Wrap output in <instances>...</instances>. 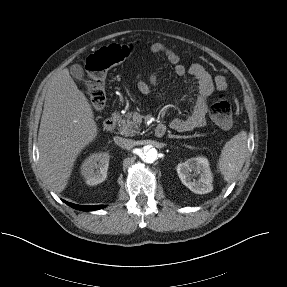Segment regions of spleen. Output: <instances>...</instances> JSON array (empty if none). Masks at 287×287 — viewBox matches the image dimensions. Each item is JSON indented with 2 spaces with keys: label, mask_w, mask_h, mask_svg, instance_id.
Instances as JSON below:
<instances>
[{
  "label": "spleen",
  "mask_w": 287,
  "mask_h": 287,
  "mask_svg": "<svg viewBox=\"0 0 287 287\" xmlns=\"http://www.w3.org/2000/svg\"><path fill=\"white\" fill-rule=\"evenodd\" d=\"M247 139V132L240 131L225 144L221 151L217 168L228 183L237 177L244 165L247 155Z\"/></svg>",
  "instance_id": "obj_1"
}]
</instances>
